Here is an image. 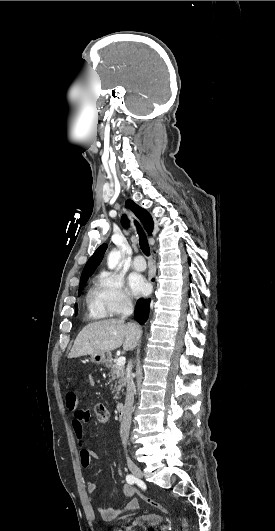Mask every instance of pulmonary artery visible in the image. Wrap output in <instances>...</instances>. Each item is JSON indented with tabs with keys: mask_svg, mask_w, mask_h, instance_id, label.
<instances>
[{
	"mask_svg": "<svg viewBox=\"0 0 275 531\" xmlns=\"http://www.w3.org/2000/svg\"><path fill=\"white\" fill-rule=\"evenodd\" d=\"M146 262L144 260V257L142 255H137L133 262H132V267L133 269L137 270V271H143L146 269Z\"/></svg>",
	"mask_w": 275,
	"mask_h": 531,
	"instance_id": "1",
	"label": "pulmonary artery"
}]
</instances>
